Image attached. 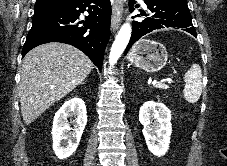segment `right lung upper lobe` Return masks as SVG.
I'll return each instance as SVG.
<instances>
[{"label": "right lung upper lobe", "mask_w": 227, "mask_h": 166, "mask_svg": "<svg viewBox=\"0 0 227 166\" xmlns=\"http://www.w3.org/2000/svg\"><path fill=\"white\" fill-rule=\"evenodd\" d=\"M73 0H36L35 6H62Z\"/></svg>", "instance_id": "1"}]
</instances>
